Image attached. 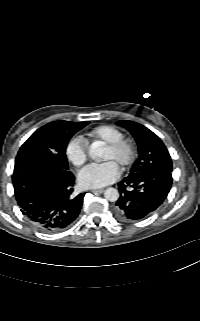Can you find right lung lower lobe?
<instances>
[{
	"label": "right lung lower lobe",
	"mask_w": 200,
	"mask_h": 321,
	"mask_svg": "<svg viewBox=\"0 0 200 321\" xmlns=\"http://www.w3.org/2000/svg\"><path fill=\"white\" fill-rule=\"evenodd\" d=\"M12 181L22 214L42 231L59 232L78 217L85 193H73L72 172L31 159L15 164Z\"/></svg>",
	"instance_id": "1"
}]
</instances>
